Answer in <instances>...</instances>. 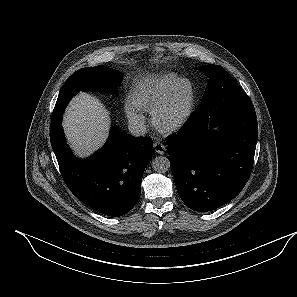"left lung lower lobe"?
<instances>
[{
    "mask_svg": "<svg viewBox=\"0 0 297 297\" xmlns=\"http://www.w3.org/2000/svg\"><path fill=\"white\" fill-rule=\"evenodd\" d=\"M222 125L219 131L211 130ZM258 137L249 99L224 100L194 112L167 138L177 192L192 210L207 212L236 197L247 183Z\"/></svg>",
    "mask_w": 297,
    "mask_h": 297,
    "instance_id": "obj_1",
    "label": "left lung lower lobe"
}]
</instances>
